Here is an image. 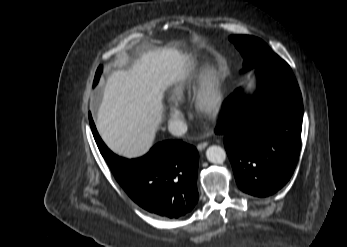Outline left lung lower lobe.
I'll list each match as a JSON object with an SVG mask.
<instances>
[{
  "label": "left lung lower lobe",
  "instance_id": "obj_1",
  "mask_svg": "<svg viewBox=\"0 0 347 247\" xmlns=\"http://www.w3.org/2000/svg\"><path fill=\"white\" fill-rule=\"evenodd\" d=\"M252 97L235 90L224 102L215 129L224 136L237 185L253 196L281 189L292 176L301 146L302 96L282 59L257 66Z\"/></svg>",
  "mask_w": 347,
  "mask_h": 247
}]
</instances>
